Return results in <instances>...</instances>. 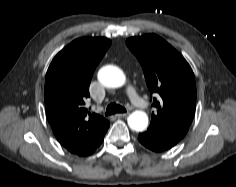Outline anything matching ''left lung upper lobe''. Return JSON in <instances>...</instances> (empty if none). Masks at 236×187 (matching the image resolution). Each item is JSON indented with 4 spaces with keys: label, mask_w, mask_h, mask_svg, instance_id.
Listing matches in <instances>:
<instances>
[{
    "label": "left lung upper lobe",
    "mask_w": 236,
    "mask_h": 187,
    "mask_svg": "<svg viewBox=\"0 0 236 187\" xmlns=\"http://www.w3.org/2000/svg\"><path fill=\"white\" fill-rule=\"evenodd\" d=\"M139 60L147 86L158 93L157 109L147 132L179 142L186 135L196 107V84L193 71L183 56L164 39L147 34L126 40Z\"/></svg>",
    "instance_id": "obj_1"
}]
</instances>
